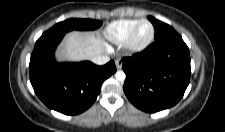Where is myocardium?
Instances as JSON below:
<instances>
[{
  "label": "myocardium",
  "mask_w": 225,
  "mask_h": 132,
  "mask_svg": "<svg viewBox=\"0 0 225 132\" xmlns=\"http://www.w3.org/2000/svg\"><path fill=\"white\" fill-rule=\"evenodd\" d=\"M143 23H147L150 26L151 31H150V35L146 39L139 41L136 38V34H137V31H138V28ZM154 35H155V30H154V27H153L152 23L150 21L146 20V19L139 20L132 27L129 34L127 35V37L124 41V46L130 52H133V53L140 52V51L144 50L145 48H147L151 44V42L154 39Z\"/></svg>",
  "instance_id": "myocardium-1"
}]
</instances>
